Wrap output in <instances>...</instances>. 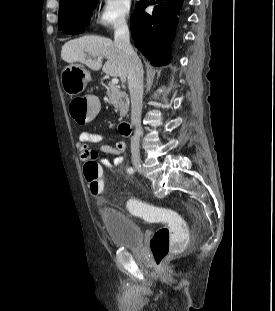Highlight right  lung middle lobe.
I'll return each instance as SVG.
<instances>
[{"label":"right lung middle lobe","mask_w":275,"mask_h":311,"mask_svg":"<svg viewBox=\"0 0 275 311\" xmlns=\"http://www.w3.org/2000/svg\"><path fill=\"white\" fill-rule=\"evenodd\" d=\"M98 0H67L59 5V30L73 34L89 23ZM138 4V3H137Z\"/></svg>","instance_id":"obj_1"}]
</instances>
